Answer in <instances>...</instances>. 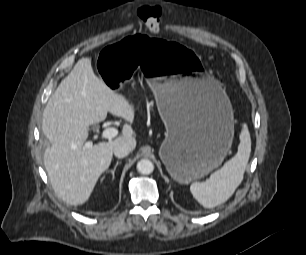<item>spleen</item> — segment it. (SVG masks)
Instances as JSON below:
<instances>
[{
    "instance_id": "obj_1",
    "label": "spleen",
    "mask_w": 306,
    "mask_h": 255,
    "mask_svg": "<svg viewBox=\"0 0 306 255\" xmlns=\"http://www.w3.org/2000/svg\"><path fill=\"white\" fill-rule=\"evenodd\" d=\"M250 152V133L247 125L243 124L236 155L205 182L192 183L190 191L193 197L205 208H214L226 202L243 180Z\"/></svg>"
}]
</instances>
